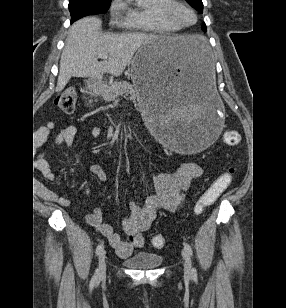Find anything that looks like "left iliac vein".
Returning <instances> with one entry per match:
<instances>
[{"label": "left iliac vein", "mask_w": 286, "mask_h": 308, "mask_svg": "<svg viewBox=\"0 0 286 308\" xmlns=\"http://www.w3.org/2000/svg\"><path fill=\"white\" fill-rule=\"evenodd\" d=\"M182 257H183V266H184V272L187 276L192 275V263L190 256L186 249L182 250Z\"/></svg>", "instance_id": "1"}]
</instances>
